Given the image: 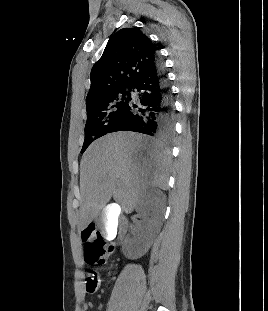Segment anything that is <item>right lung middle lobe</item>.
Here are the masks:
<instances>
[{"label":"right lung middle lobe","mask_w":268,"mask_h":311,"mask_svg":"<svg viewBox=\"0 0 268 311\" xmlns=\"http://www.w3.org/2000/svg\"><path fill=\"white\" fill-rule=\"evenodd\" d=\"M131 87L117 90L87 108L85 140L81 153L97 138L110 129L126 109L131 98Z\"/></svg>","instance_id":"dd1d6c3e"}]
</instances>
